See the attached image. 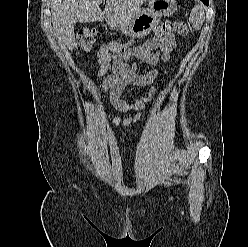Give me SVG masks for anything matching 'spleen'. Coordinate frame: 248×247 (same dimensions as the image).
Wrapping results in <instances>:
<instances>
[{
	"label": "spleen",
	"mask_w": 248,
	"mask_h": 247,
	"mask_svg": "<svg viewBox=\"0 0 248 247\" xmlns=\"http://www.w3.org/2000/svg\"><path fill=\"white\" fill-rule=\"evenodd\" d=\"M205 20V13L202 5H195L190 13V21L196 30H200Z\"/></svg>",
	"instance_id": "1"
}]
</instances>
